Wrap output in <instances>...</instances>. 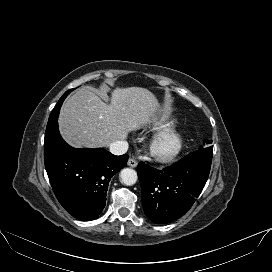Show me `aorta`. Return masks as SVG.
<instances>
[{
    "label": "aorta",
    "instance_id": "762f6f07",
    "mask_svg": "<svg viewBox=\"0 0 272 272\" xmlns=\"http://www.w3.org/2000/svg\"><path fill=\"white\" fill-rule=\"evenodd\" d=\"M120 179L127 186L134 185L138 179L137 172L131 168H124L120 173Z\"/></svg>",
    "mask_w": 272,
    "mask_h": 272
}]
</instances>
